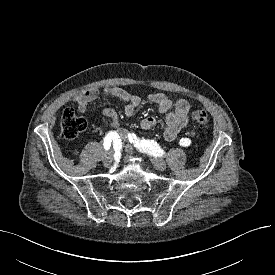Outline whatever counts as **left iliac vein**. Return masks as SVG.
Instances as JSON below:
<instances>
[{
	"instance_id": "4c4485c4",
	"label": "left iliac vein",
	"mask_w": 275,
	"mask_h": 275,
	"mask_svg": "<svg viewBox=\"0 0 275 275\" xmlns=\"http://www.w3.org/2000/svg\"><path fill=\"white\" fill-rule=\"evenodd\" d=\"M151 161H152V164L154 165V167L157 170H159V171L166 170L167 164H166V162L162 158L154 157V158H152Z\"/></svg>"
}]
</instances>
